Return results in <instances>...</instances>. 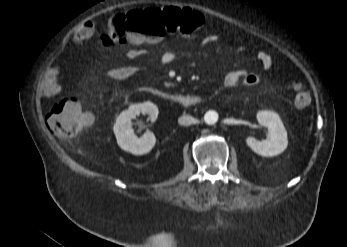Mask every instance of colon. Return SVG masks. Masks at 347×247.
<instances>
[{
  "label": "colon",
  "mask_w": 347,
  "mask_h": 247,
  "mask_svg": "<svg viewBox=\"0 0 347 247\" xmlns=\"http://www.w3.org/2000/svg\"><path fill=\"white\" fill-rule=\"evenodd\" d=\"M205 21L200 12L176 7L148 8L127 13H119L109 23V34L105 43L124 44L135 42L160 41L167 34H190ZM294 104L305 108L311 102V95L300 81L293 84ZM50 131L61 139L77 137L92 124L90 115L72 97L55 101L47 116Z\"/></svg>",
  "instance_id": "obj_1"
}]
</instances>
